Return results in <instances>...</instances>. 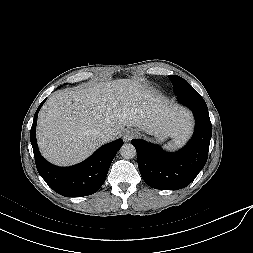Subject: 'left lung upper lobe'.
Returning <instances> with one entry per match:
<instances>
[{"instance_id":"5c2ea615","label":"left lung upper lobe","mask_w":253,"mask_h":253,"mask_svg":"<svg viewBox=\"0 0 253 253\" xmlns=\"http://www.w3.org/2000/svg\"><path fill=\"white\" fill-rule=\"evenodd\" d=\"M168 77L173 84V91L176 96H181L195 90L186 80L180 76L170 75Z\"/></svg>"}]
</instances>
